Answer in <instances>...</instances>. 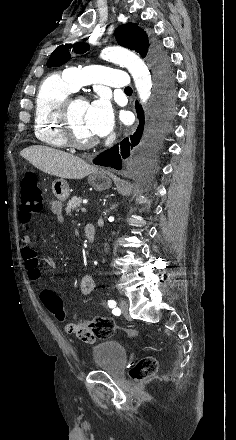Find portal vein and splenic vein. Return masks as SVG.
I'll return each mask as SVG.
<instances>
[{
  "instance_id": "portal-vein-and-splenic-vein-1",
  "label": "portal vein and splenic vein",
  "mask_w": 236,
  "mask_h": 440,
  "mask_svg": "<svg viewBox=\"0 0 236 440\" xmlns=\"http://www.w3.org/2000/svg\"><path fill=\"white\" fill-rule=\"evenodd\" d=\"M81 211H82V212H86V208H85V207H82V208H81Z\"/></svg>"
}]
</instances>
